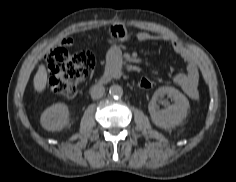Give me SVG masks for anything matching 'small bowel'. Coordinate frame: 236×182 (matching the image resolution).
<instances>
[{
	"instance_id": "1",
	"label": "small bowel",
	"mask_w": 236,
	"mask_h": 182,
	"mask_svg": "<svg viewBox=\"0 0 236 182\" xmlns=\"http://www.w3.org/2000/svg\"><path fill=\"white\" fill-rule=\"evenodd\" d=\"M111 32L116 36H113ZM110 34L114 39L111 43L124 42L129 39L128 31L119 25L112 26ZM136 37L141 42L151 40H162L168 42L172 50L186 63V71L176 74L173 77V82L179 86L189 98L197 99L199 97L198 84L200 73L197 60L191 51H189L181 42L173 39L167 34L154 35L147 32H139ZM71 43L72 40L70 38L63 40L64 45L68 46L71 45Z\"/></svg>"
}]
</instances>
